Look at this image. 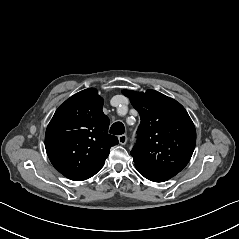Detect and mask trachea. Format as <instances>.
<instances>
[{"label":"trachea","mask_w":239,"mask_h":239,"mask_svg":"<svg viewBox=\"0 0 239 239\" xmlns=\"http://www.w3.org/2000/svg\"><path fill=\"white\" fill-rule=\"evenodd\" d=\"M124 132L125 127L122 122H115L110 128V133L113 135H122Z\"/></svg>","instance_id":"obj_1"}]
</instances>
